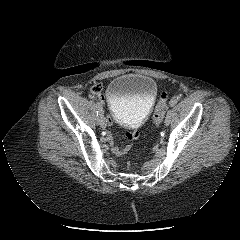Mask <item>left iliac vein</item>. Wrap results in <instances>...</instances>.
I'll list each match as a JSON object with an SVG mask.
<instances>
[{
    "label": "left iliac vein",
    "instance_id": "1",
    "mask_svg": "<svg viewBox=\"0 0 240 240\" xmlns=\"http://www.w3.org/2000/svg\"><path fill=\"white\" fill-rule=\"evenodd\" d=\"M171 118H172V111L169 110L167 115H166V118H165V125L166 126H168L170 124Z\"/></svg>",
    "mask_w": 240,
    "mask_h": 240
}]
</instances>
